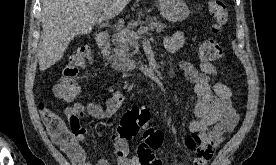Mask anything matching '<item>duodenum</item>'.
<instances>
[{
  "label": "duodenum",
  "instance_id": "1",
  "mask_svg": "<svg viewBox=\"0 0 276 165\" xmlns=\"http://www.w3.org/2000/svg\"><path fill=\"white\" fill-rule=\"evenodd\" d=\"M97 44H98V47L105 51L108 49L109 45H110V39H109V36L108 34L106 33H99L97 35Z\"/></svg>",
  "mask_w": 276,
  "mask_h": 165
}]
</instances>
